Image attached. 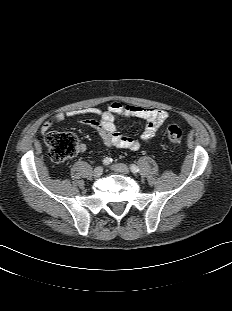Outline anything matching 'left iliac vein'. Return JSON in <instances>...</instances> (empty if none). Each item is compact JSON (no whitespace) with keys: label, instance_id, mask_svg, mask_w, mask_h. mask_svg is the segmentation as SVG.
<instances>
[{"label":"left iliac vein","instance_id":"left-iliac-vein-1","mask_svg":"<svg viewBox=\"0 0 232 311\" xmlns=\"http://www.w3.org/2000/svg\"><path fill=\"white\" fill-rule=\"evenodd\" d=\"M112 169L116 172L123 173V174H128L130 171L129 167L122 163L114 164L112 166Z\"/></svg>","mask_w":232,"mask_h":311}]
</instances>
